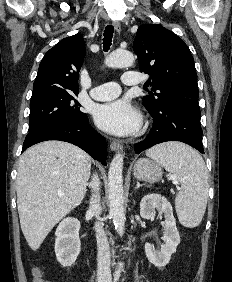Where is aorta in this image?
Returning <instances> with one entry per match:
<instances>
[{
	"label": "aorta",
	"mask_w": 232,
	"mask_h": 282,
	"mask_svg": "<svg viewBox=\"0 0 232 282\" xmlns=\"http://www.w3.org/2000/svg\"><path fill=\"white\" fill-rule=\"evenodd\" d=\"M134 63V55L127 50H115L106 59L108 67L123 68ZM108 194L110 215L115 229L120 236L124 234V190H123V155L118 153L114 156L108 172ZM122 263L119 264L120 271Z\"/></svg>",
	"instance_id": "obj_1"
}]
</instances>
